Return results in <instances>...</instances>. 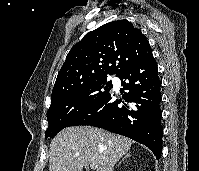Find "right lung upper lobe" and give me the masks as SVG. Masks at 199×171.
<instances>
[{
	"mask_svg": "<svg viewBox=\"0 0 199 171\" xmlns=\"http://www.w3.org/2000/svg\"><path fill=\"white\" fill-rule=\"evenodd\" d=\"M152 56L148 40L127 20H117L87 33L75 44L61 67L53 102L80 85L115 74Z\"/></svg>",
	"mask_w": 199,
	"mask_h": 171,
	"instance_id": "right-lung-upper-lobe-1",
	"label": "right lung upper lobe"
}]
</instances>
